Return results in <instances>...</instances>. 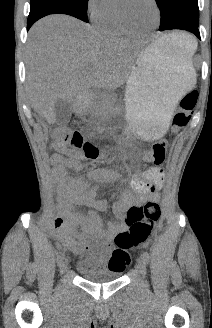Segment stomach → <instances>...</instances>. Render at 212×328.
Listing matches in <instances>:
<instances>
[{
	"label": "stomach",
	"instance_id": "obj_1",
	"mask_svg": "<svg viewBox=\"0 0 212 328\" xmlns=\"http://www.w3.org/2000/svg\"><path fill=\"white\" fill-rule=\"evenodd\" d=\"M191 59L182 48L159 39L139 54L121 112L135 133L147 140L165 134L177 101L196 83Z\"/></svg>",
	"mask_w": 212,
	"mask_h": 328
}]
</instances>
